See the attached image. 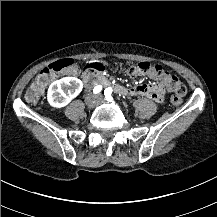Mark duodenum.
Wrapping results in <instances>:
<instances>
[{"label": "duodenum", "mask_w": 217, "mask_h": 217, "mask_svg": "<svg viewBox=\"0 0 217 217\" xmlns=\"http://www.w3.org/2000/svg\"><path fill=\"white\" fill-rule=\"evenodd\" d=\"M83 83L87 88L103 85L106 89L117 94L127 95L131 93V89L112 83L94 68H90L85 72L83 75Z\"/></svg>", "instance_id": "1"}]
</instances>
